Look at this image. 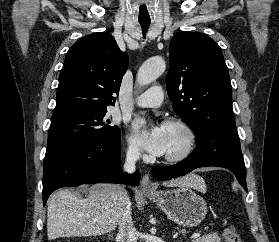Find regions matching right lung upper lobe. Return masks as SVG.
Wrapping results in <instances>:
<instances>
[{
    "instance_id": "right-lung-upper-lobe-1",
    "label": "right lung upper lobe",
    "mask_w": 279,
    "mask_h": 242,
    "mask_svg": "<svg viewBox=\"0 0 279 242\" xmlns=\"http://www.w3.org/2000/svg\"><path fill=\"white\" fill-rule=\"evenodd\" d=\"M128 56L106 32L79 39L67 52L59 76L54 113L78 109L106 110L115 105Z\"/></svg>"
}]
</instances>
